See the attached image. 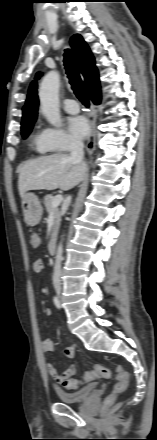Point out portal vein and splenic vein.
<instances>
[{"label":"portal vein and splenic vein","instance_id":"portal-vein-and-splenic-vein-1","mask_svg":"<svg viewBox=\"0 0 157 440\" xmlns=\"http://www.w3.org/2000/svg\"><path fill=\"white\" fill-rule=\"evenodd\" d=\"M63 200V196L62 195H56L52 201V207L56 208L60 205V203Z\"/></svg>","mask_w":157,"mask_h":440}]
</instances>
